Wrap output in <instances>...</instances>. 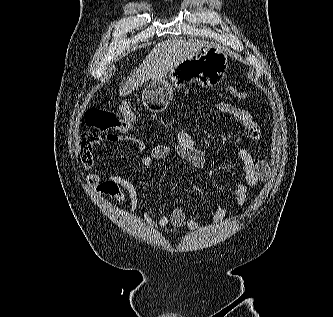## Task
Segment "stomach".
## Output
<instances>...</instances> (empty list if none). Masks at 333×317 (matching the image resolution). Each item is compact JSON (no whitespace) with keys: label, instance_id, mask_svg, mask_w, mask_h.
<instances>
[{"label":"stomach","instance_id":"stomach-1","mask_svg":"<svg viewBox=\"0 0 333 317\" xmlns=\"http://www.w3.org/2000/svg\"><path fill=\"white\" fill-rule=\"evenodd\" d=\"M228 69V58L219 48L204 44L196 56L180 62L170 71L171 82L152 80L142 93V102L151 112H162L173 96V86L184 87V80L191 79L203 86H213L221 81Z\"/></svg>","mask_w":333,"mask_h":317}]
</instances>
